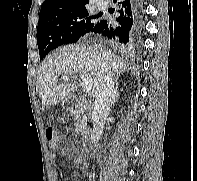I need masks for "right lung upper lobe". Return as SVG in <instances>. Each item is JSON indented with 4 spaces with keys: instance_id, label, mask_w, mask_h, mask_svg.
<instances>
[{
    "instance_id": "cb5924a9",
    "label": "right lung upper lobe",
    "mask_w": 197,
    "mask_h": 181,
    "mask_svg": "<svg viewBox=\"0 0 197 181\" xmlns=\"http://www.w3.org/2000/svg\"><path fill=\"white\" fill-rule=\"evenodd\" d=\"M88 3L89 0H45L41 6L39 20L84 8Z\"/></svg>"
}]
</instances>
